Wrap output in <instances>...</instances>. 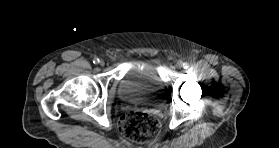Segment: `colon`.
I'll use <instances>...</instances> for the list:
<instances>
[{"mask_svg": "<svg viewBox=\"0 0 279 148\" xmlns=\"http://www.w3.org/2000/svg\"><path fill=\"white\" fill-rule=\"evenodd\" d=\"M160 127V122L154 115L138 110L127 111L119 121L120 132L137 143H146L155 139L160 132Z\"/></svg>", "mask_w": 279, "mask_h": 148, "instance_id": "colon-1", "label": "colon"}]
</instances>
